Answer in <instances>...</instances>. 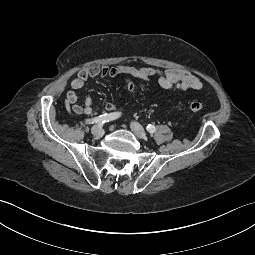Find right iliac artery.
<instances>
[{"mask_svg": "<svg viewBox=\"0 0 255 255\" xmlns=\"http://www.w3.org/2000/svg\"><path fill=\"white\" fill-rule=\"evenodd\" d=\"M121 116L120 112H114L110 114H103L98 117H95L89 121V124H103L105 122H109L115 120Z\"/></svg>", "mask_w": 255, "mask_h": 255, "instance_id": "right-iliac-artery-1", "label": "right iliac artery"}]
</instances>
